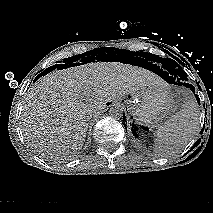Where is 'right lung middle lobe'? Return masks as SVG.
<instances>
[{"mask_svg": "<svg viewBox=\"0 0 213 213\" xmlns=\"http://www.w3.org/2000/svg\"><path fill=\"white\" fill-rule=\"evenodd\" d=\"M99 49V48H98ZM90 52H91V54H90ZM90 52H87V53H84V54H81V55H76V56H72V57H70V58H66V59H64V62H75L76 60H78L79 58H81V57H83V56H85V55H87V57L89 58V57H93V56H95L97 53H98V50H92V51H90ZM92 52H94L93 54H92ZM99 55V54H98ZM86 58V57H85ZM94 58V57H93Z\"/></svg>", "mask_w": 213, "mask_h": 213, "instance_id": "right-lung-middle-lobe-1", "label": "right lung middle lobe"}]
</instances>
